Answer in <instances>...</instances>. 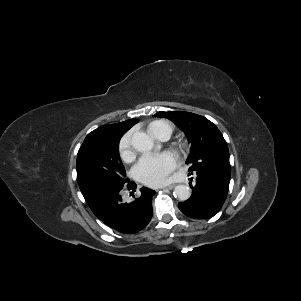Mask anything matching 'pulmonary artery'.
<instances>
[{"label": "pulmonary artery", "instance_id": "pulmonary-artery-1", "mask_svg": "<svg viewBox=\"0 0 301 301\" xmlns=\"http://www.w3.org/2000/svg\"><path fill=\"white\" fill-rule=\"evenodd\" d=\"M170 135H171V132H170L169 128L166 127L160 131L158 139L165 141L170 137Z\"/></svg>", "mask_w": 301, "mask_h": 301}]
</instances>
